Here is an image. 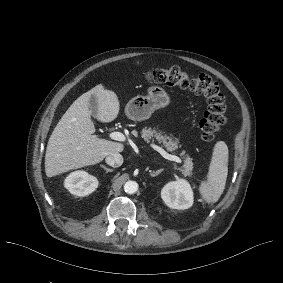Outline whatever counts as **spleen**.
Masks as SVG:
<instances>
[{
    "label": "spleen",
    "mask_w": 283,
    "mask_h": 283,
    "mask_svg": "<svg viewBox=\"0 0 283 283\" xmlns=\"http://www.w3.org/2000/svg\"><path fill=\"white\" fill-rule=\"evenodd\" d=\"M228 174V148L220 141L213 149L212 159L207 174V181H202L199 187L202 198L207 203H215L222 195Z\"/></svg>",
    "instance_id": "spleen-1"
}]
</instances>
